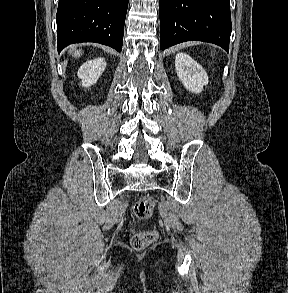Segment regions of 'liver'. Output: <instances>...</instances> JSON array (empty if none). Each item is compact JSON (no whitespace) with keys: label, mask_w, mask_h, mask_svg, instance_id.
Segmentation results:
<instances>
[{"label":"liver","mask_w":288,"mask_h":293,"mask_svg":"<svg viewBox=\"0 0 288 293\" xmlns=\"http://www.w3.org/2000/svg\"><path fill=\"white\" fill-rule=\"evenodd\" d=\"M72 51H73V56L75 58L80 57V55L82 54L81 50L73 49Z\"/></svg>","instance_id":"6515ba94"}]
</instances>
